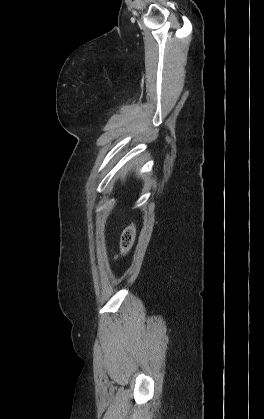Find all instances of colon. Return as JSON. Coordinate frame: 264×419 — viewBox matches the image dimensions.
Listing matches in <instances>:
<instances>
[{
	"label": "colon",
	"instance_id": "obj_1",
	"mask_svg": "<svg viewBox=\"0 0 264 419\" xmlns=\"http://www.w3.org/2000/svg\"><path fill=\"white\" fill-rule=\"evenodd\" d=\"M136 236V229L134 224L128 225L122 232L120 240L121 251L125 254L133 246Z\"/></svg>",
	"mask_w": 264,
	"mask_h": 419
}]
</instances>
